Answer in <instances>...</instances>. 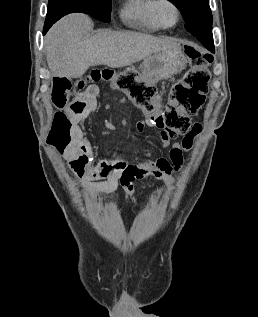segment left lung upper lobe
Segmentation results:
<instances>
[{"label": "left lung upper lobe", "instance_id": "obj_1", "mask_svg": "<svg viewBox=\"0 0 258 317\" xmlns=\"http://www.w3.org/2000/svg\"><path fill=\"white\" fill-rule=\"evenodd\" d=\"M182 13L185 27L194 35L212 31V14L208 0H170Z\"/></svg>", "mask_w": 258, "mask_h": 317}]
</instances>
